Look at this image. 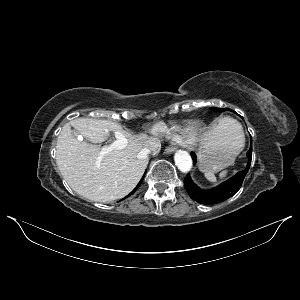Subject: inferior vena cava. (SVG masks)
Wrapping results in <instances>:
<instances>
[{"label":"inferior vena cava","instance_id":"602c4592","mask_svg":"<svg viewBox=\"0 0 300 300\" xmlns=\"http://www.w3.org/2000/svg\"><path fill=\"white\" fill-rule=\"evenodd\" d=\"M160 141L156 139H152L149 143V147L143 148L137 155V158L140 160H147L148 154L153 152L156 154L160 150Z\"/></svg>","mask_w":300,"mask_h":300}]
</instances>
